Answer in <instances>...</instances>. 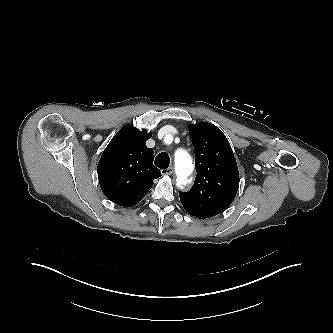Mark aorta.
Segmentation results:
<instances>
[{
  "label": "aorta",
  "instance_id": "1",
  "mask_svg": "<svg viewBox=\"0 0 333 333\" xmlns=\"http://www.w3.org/2000/svg\"><path fill=\"white\" fill-rule=\"evenodd\" d=\"M175 166L179 179L182 181L192 172L193 165L190 156L183 150L175 154Z\"/></svg>",
  "mask_w": 333,
  "mask_h": 333
}]
</instances>
